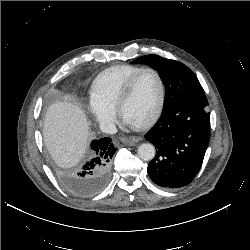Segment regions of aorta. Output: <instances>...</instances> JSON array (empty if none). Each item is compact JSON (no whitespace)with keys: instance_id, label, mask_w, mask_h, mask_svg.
Returning <instances> with one entry per match:
<instances>
[{"instance_id":"obj_1","label":"aorta","mask_w":250,"mask_h":250,"mask_svg":"<svg viewBox=\"0 0 250 250\" xmlns=\"http://www.w3.org/2000/svg\"><path fill=\"white\" fill-rule=\"evenodd\" d=\"M137 154L144 161L152 160L155 156V147L151 143H143L138 147Z\"/></svg>"}]
</instances>
